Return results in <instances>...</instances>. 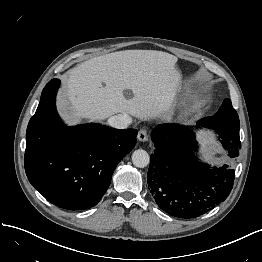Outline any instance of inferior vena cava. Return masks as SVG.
<instances>
[{
  "label": "inferior vena cava",
  "mask_w": 262,
  "mask_h": 262,
  "mask_svg": "<svg viewBox=\"0 0 262 262\" xmlns=\"http://www.w3.org/2000/svg\"><path fill=\"white\" fill-rule=\"evenodd\" d=\"M132 122V118L128 114H118L108 119V124L117 129H126Z\"/></svg>",
  "instance_id": "inferior-vena-cava-1"
}]
</instances>
